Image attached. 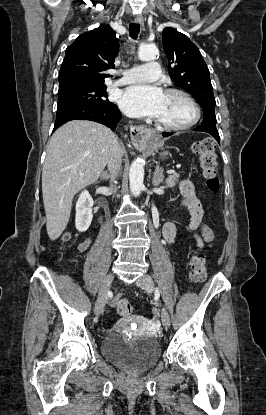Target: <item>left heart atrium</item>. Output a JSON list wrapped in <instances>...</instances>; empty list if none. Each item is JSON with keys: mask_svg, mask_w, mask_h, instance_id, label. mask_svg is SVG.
Returning <instances> with one entry per match:
<instances>
[{"mask_svg": "<svg viewBox=\"0 0 266 415\" xmlns=\"http://www.w3.org/2000/svg\"><path fill=\"white\" fill-rule=\"evenodd\" d=\"M165 94L157 86L136 85L126 89L121 97L122 110L132 117H154L161 113Z\"/></svg>", "mask_w": 266, "mask_h": 415, "instance_id": "left-heart-atrium-1", "label": "left heart atrium"}]
</instances>
